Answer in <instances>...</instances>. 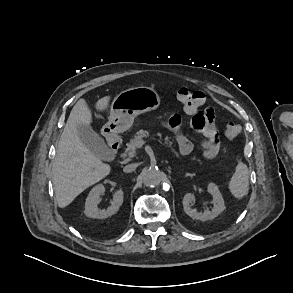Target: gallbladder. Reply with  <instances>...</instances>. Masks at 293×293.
<instances>
[{
  "label": "gallbladder",
  "mask_w": 293,
  "mask_h": 293,
  "mask_svg": "<svg viewBox=\"0 0 293 293\" xmlns=\"http://www.w3.org/2000/svg\"><path fill=\"white\" fill-rule=\"evenodd\" d=\"M82 143L98 158L104 160L111 153L104 140L88 125H78Z\"/></svg>",
  "instance_id": "bac80fb5"
}]
</instances>
